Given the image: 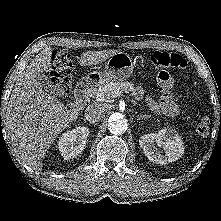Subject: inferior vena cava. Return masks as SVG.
I'll return each mask as SVG.
<instances>
[{
	"label": "inferior vena cava",
	"mask_w": 221,
	"mask_h": 221,
	"mask_svg": "<svg viewBox=\"0 0 221 221\" xmlns=\"http://www.w3.org/2000/svg\"><path fill=\"white\" fill-rule=\"evenodd\" d=\"M107 110V107L105 104H94L90 105L85 110V118L90 123H96L99 122Z\"/></svg>",
	"instance_id": "inferior-vena-cava-1"
}]
</instances>
